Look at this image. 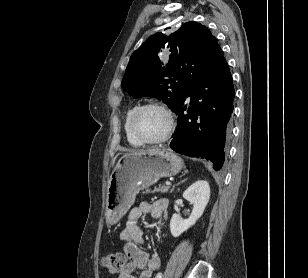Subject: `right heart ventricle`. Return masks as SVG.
I'll return each mask as SVG.
<instances>
[{"label":"right heart ventricle","instance_id":"e07e8e85","mask_svg":"<svg viewBox=\"0 0 308 278\" xmlns=\"http://www.w3.org/2000/svg\"><path fill=\"white\" fill-rule=\"evenodd\" d=\"M137 107V105L135 106H132L131 108H129L125 114V117H124V132H125V135H126V139L128 141V143L133 146V147H140L142 146L143 144L138 141L134 136L133 134L131 133V130H130V127H129V119H130V116L132 114V112L135 110V108Z\"/></svg>","mask_w":308,"mask_h":278}]
</instances>
